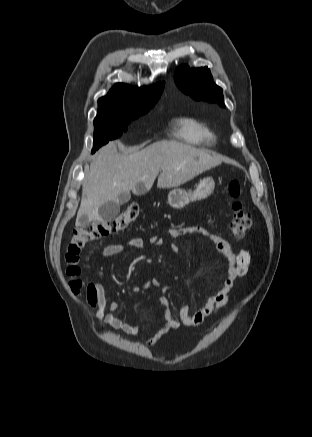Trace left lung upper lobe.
<instances>
[{
	"label": "left lung upper lobe",
	"mask_w": 312,
	"mask_h": 437,
	"mask_svg": "<svg viewBox=\"0 0 312 437\" xmlns=\"http://www.w3.org/2000/svg\"><path fill=\"white\" fill-rule=\"evenodd\" d=\"M175 82L181 91L190 95L195 100H203L218 103L222 107L225 106L222 88L213 82L208 67H201L197 70L182 67L175 76Z\"/></svg>",
	"instance_id": "1"
}]
</instances>
